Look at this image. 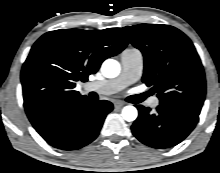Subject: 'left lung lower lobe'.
<instances>
[{"label":"left lung lower lobe","mask_w":220,"mask_h":173,"mask_svg":"<svg viewBox=\"0 0 220 173\" xmlns=\"http://www.w3.org/2000/svg\"><path fill=\"white\" fill-rule=\"evenodd\" d=\"M139 116L131 129L142 143L158 149L177 145L194 129L199 115L173 106L159 105L156 113L136 105Z\"/></svg>","instance_id":"left-lung-lower-lobe-1"}]
</instances>
